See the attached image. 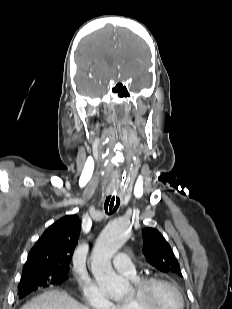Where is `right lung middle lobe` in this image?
Wrapping results in <instances>:
<instances>
[{"instance_id":"obj_1","label":"right lung middle lobe","mask_w":232,"mask_h":309,"mask_svg":"<svg viewBox=\"0 0 232 309\" xmlns=\"http://www.w3.org/2000/svg\"><path fill=\"white\" fill-rule=\"evenodd\" d=\"M67 274L68 273L56 272L52 270L24 273L22 274V278L20 280L19 289L25 286L38 288L49 285H57L67 279Z\"/></svg>"}]
</instances>
